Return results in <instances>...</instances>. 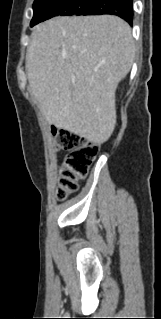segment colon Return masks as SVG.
I'll return each mask as SVG.
<instances>
[{"label": "colon", "instance_id": "obj_1", "mask_svg": "<svg viewBox=\"0 0 161 319\" xmlns=\"http://www.w3.org/2000/svg\"><path fill=\"white\" fill-rule=\"evenodd\" d=\"M53 134L57 147L67 152L59 169L57 191L58 198L64 200L77 191L79 182L88 175L90 164L98 154L99 145L80 135L57 128Z\"/></svg>", "mask_w": 161, "mask_h": 319}]
</instances>
